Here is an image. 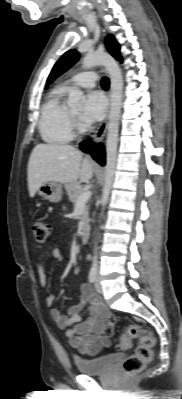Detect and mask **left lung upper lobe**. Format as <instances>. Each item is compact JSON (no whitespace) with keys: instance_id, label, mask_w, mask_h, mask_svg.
Wrapping results in <instances>:
<instances>
[{"instance_id":"5c2ea615","label":"left lung upper lobe","mask_w":182,"mask_h":399,"mask_svg":"<svg viewBox=\"0 0 182 399\" xmlns=\"http://www.w3.org/2000/svg\"><path fill=\"white\" fill-rule=\"evenodd\" d=\"M105 44L109 53L117 60H122L120 55V46L116 42L112 35L106 37ZM79 54L76 50L67 51L54 65L47 82H51L53 79L68 70L75 62L78 61Z\"/></svg>"}]
</instances>
